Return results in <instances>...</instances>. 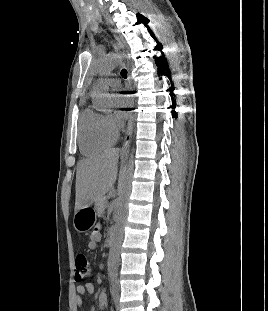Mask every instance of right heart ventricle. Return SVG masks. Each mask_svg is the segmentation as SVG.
Here are the masks:
<instances>
[{
	"instance_id": "1",
	"label": "right heart ventricle",
	"mask_w": 268,
	"mask_h": 311,
	"mask_svg": "<svg viewBox=\"0 0 268 311\" xmlns=\"http://www.w3.org/2000/svg\"><path fill=\"white\" fill-rule=\"evenodd\" d=\"M78 128L79 147L85 155L104 151L117 139V131L109 125L107 116L89 108L81 113Z\"/></svg>"
}]
</instances>
